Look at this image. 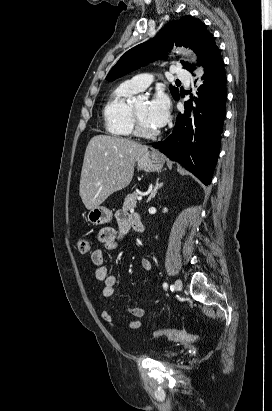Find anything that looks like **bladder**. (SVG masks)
<instances>
[{"instance_id": "1", "label": "bladder", "mask_w": 272, "mask_h": 411, "mask_svg": "<svg viewBox=\"0 0 272 411\" xmlns=\"http://www.w3.org/2000/svg\"><path fill=\"white\" fill-rule=\"evenodd\" d=\"M156 358H161V359H165V360H173L175 358H177V353L175 352H168V353H157L153 355Z\"/></svg>"}]
</instances>
